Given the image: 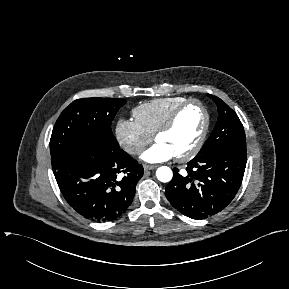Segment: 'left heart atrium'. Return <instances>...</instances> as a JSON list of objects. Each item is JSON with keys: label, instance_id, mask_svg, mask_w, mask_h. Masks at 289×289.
I'll list each match as a JSON object with an SVG mask.
<instances>
[{"label": "left heart atrium", "instance_id": "1", "mask_svg": "<svg viewBox=\"0 0 289 289\" xmlns=\"http://www.w3.org/2000/svg\"><path fill=\"white\" fill-rule=\"evenodd\" d=\"M174 157V153L166 145L158 142L147 149L141 156L148 163L165 162Z\"/></svg>", "mask_w": 289, "mask_h": 289}]
</instances>
